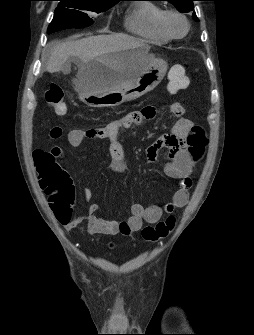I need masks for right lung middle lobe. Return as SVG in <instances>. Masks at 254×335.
I'll use <instances>...</instances> for the list:
<instances>
[{"instance_id": "obj_1", "label": "right lung middle lobe", "mask_w": 254, "mask_h": 335, "mask_svg": "<svg viewBox=\"0 0 254 335\" xmlns=\"http://www.w3.org/2000/svg\"><path fill=\"white\" fill-rule=\"evenodd\" d=\"M55 14L47 33H53L68 28H84L93 20L88 12H103L115 3L94 0H59Z\"/></svg>"}]
</instances>
